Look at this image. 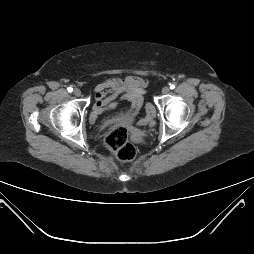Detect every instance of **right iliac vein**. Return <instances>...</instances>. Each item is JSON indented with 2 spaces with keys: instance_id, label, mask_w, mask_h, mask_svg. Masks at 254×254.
I'll return each mask as SVG.
<instances>
[{
  "instance_id": "obj_1",
  "label": "right iliac vein",
  "mask_w": 254,
  "mask_h": 254,
  "mask_svg": "<svg viewBox=\"0 0 254 254\" xmlns=\"http://www.w3.org/2000/svg\"><path fill=\"white\" fill-rule=\"evenodd\" d=\"M73 94L77 97H79L81 95V90L78 89V88H75L74 91H73Z\"/></svg>"
}]
</instances>
